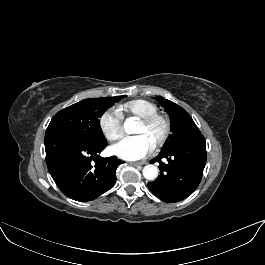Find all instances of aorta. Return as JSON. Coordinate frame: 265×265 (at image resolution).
Masks as SVG:
<instances>
[{
	"label": "aorta",
	"instance_id": "1",
	"mask_svg": "<svg viewBox=\"0 0 265 265\" xmlns=\"http://www.w3.org/2000/svg\"><path fill=\"white\" fill-rule=\"evenodd\" d=\"M123 127L127 134H134L136 133L137 122L132 118H128L125 120ZM142 173L147 180H153L158 176V168L155 165L149 164L143 168Z\"/></svg>",
	"mask_w": 265,
	"mask_h": 265
}]
</instances>
